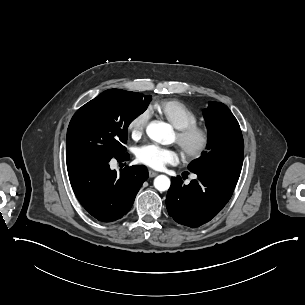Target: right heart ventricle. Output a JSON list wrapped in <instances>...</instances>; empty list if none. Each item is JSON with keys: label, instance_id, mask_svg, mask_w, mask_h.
<instances>
[{"label": "right heart ventricle", "instance_id": "e07e8e85", "mask_svg": "<svg viewBox=\"0 0 305 305\" xmlns=\"http://www.w3.org/2000/svg\"><path fill=\"white\" fill-rule=\"evenodd\" d=\"M150 111L165 117L176 129L198 124V115L184 103L174 99L153 102Z\"/></svg>", "mask_w": 305, "mask_h": 305}]
</instances>
